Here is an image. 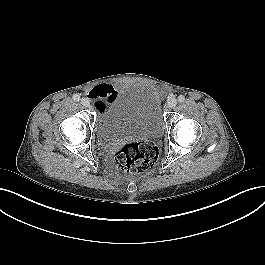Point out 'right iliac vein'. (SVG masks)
<instances>
[{
  "label": "right iliac vein",
  "mask_w": 265,
  "mask_h": 265,
  "mask_svg": "<svg viewBox=\"0 0 265 265\" xmlns=\"http://www.w3.org/2000/svg\"><path fill=\"white\" fill-rule=\"evenodd\" d=\"M80 103L85 106V107H89L90 106V101L87 98H82L80 100Z\"/></svg>",
  "instance_id": "1"
}]
</instances>
